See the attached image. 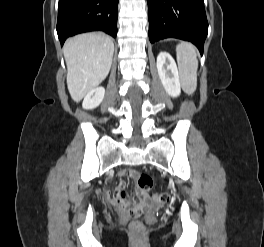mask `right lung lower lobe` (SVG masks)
Listing matches in <instances>:
<instances>
[{
    "label": "right lung lower lobe",
    "mask_w": 264,
    "mask_h": 247,
    "mask_svg": "<svg viewBox=\"0 0 264 247\" xmlns=\"http://www.w3.org/2000/svg\"><path fill=\"white\" fill-rule=\"evenodd\" d=\"M118 0H59L57 33L61 45L73 35L103 31L117 35Z\"/></svg>",
    "instance_id": "obj_1"
}]
</instances>
